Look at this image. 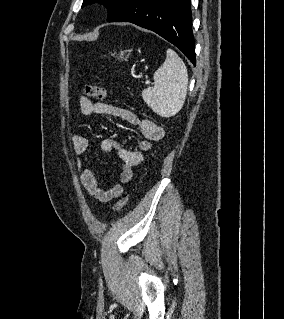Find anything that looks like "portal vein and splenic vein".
<instances>
[{
    "mask_svg": "<svg viewBox=\"0 0 284 319\" xmlns=\"http://www.w3.org/2000/svg\"><path fill=\"white\" fill-rule=\"evenodd\" d=\"M150 82L149 81H146V84H149Z\"/></svg>",
    "mask_w": 284,
    "mask_h": 319,
    "instance_id": "portal-vein-and-splenic-vein-1",
    "label": "portal vein and splenic vein"
}]
</instances>
